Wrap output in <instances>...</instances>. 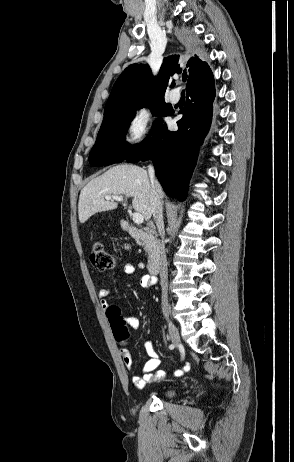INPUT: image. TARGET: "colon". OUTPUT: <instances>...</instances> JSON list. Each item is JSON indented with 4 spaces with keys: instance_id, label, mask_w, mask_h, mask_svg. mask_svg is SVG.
Instances as JSON below:
<instances>
[{
    "instance_id": "colon-1",
    "label": "colon",
    "mask_w": 294,
    "mask_h": 462,
    "mask_svg": "<svg viewBox=\"0 0 294 462\" xmlns=\"http://www.w3.org/2000/svg\"><path fill=\"white\" fill-rule=\"evenodd\" d=\"M90 261L96 270L106 271L114 268L117 259L115 254L107 250L102 243L96 242L91 248ZM106 314L110 321L115 338L126 340L128 337V330L119 308L114 305H110L106 310Z\"/></svg>"
}]
</instances>
